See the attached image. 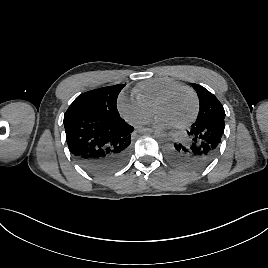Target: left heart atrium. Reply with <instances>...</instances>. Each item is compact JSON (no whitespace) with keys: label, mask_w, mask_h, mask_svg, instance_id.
<instances>
[{"label":"left heart atrium","mask_w":268,"mask_h":268,"mask_svg":"<svg viewBox=\"0 0 268 268\" xmlns=\"http://www.w3.org/2000/svg\"><path fill=\"white\" fill-rule=\"evenodd\" d=\"M154 124L159 128H169L172 126L168 121L159 116L155 117Z\"/></svg>","instance_id":"left-heart-atrium-1"}]
</instances>
